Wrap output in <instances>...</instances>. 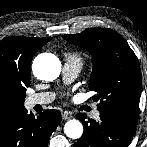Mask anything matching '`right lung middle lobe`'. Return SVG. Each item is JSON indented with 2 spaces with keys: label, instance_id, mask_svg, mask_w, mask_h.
I'll use <instances>...</instances> for the list:
<instances>
[{
  "label": "right lung middle lobe",
  "instance_id": "1",
  "mask_svg": "<svg viewBox=\"0 0 147 147\" xmlns=\"http://www.w3.org/2000/svg\"><path fill=\"white\" fill-rule=\"evenodd\" d=\"M30 79H22L0 70V117L16 113L24 108L26 87Z\"/></svg>",
  "mask_w": 147,
  "mask_h": 147
}]
</instances>
